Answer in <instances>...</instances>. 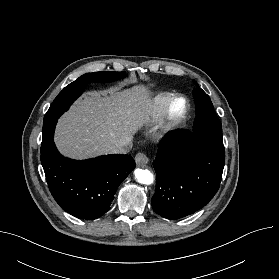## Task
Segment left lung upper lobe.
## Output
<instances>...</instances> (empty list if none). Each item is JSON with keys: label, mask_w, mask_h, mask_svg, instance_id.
<instances>
[{"label": "left lung upper lobe", "mask_w": 279, "mask_h": 279, "mask_svg": "<svg viewBox=\"0 0 279 279\" xmlns=\"http://www.w3.org/2000/svg\"><path fill=\"white\" fill-rule=\"evenodd\" d=\"M196 103V118L191 133L224 149L222 125L214 111L209 96L200 88L193 91Z\"/></svg>", "instance_id": "5c2ea615"}]
</instances>
